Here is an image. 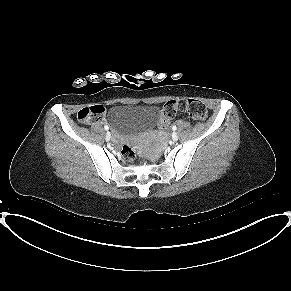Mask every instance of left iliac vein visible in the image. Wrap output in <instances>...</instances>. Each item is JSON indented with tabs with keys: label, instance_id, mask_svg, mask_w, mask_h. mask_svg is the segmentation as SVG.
<instances>
[{
	"label": "left iliac vein",
	"instance_id": "1",
	"mask_svg": "<svg viewBox=\"0 0 291 291\" xmlns=\"http://www.w3.org/2000/svg\"><path fill=\"white\" fill-rule=\"evenodd\" d=\"M178 134L177 133H173V135H172V140L173 141H177L178 140Z\"/></svg>",
	"mask_w": 291,
	"mask_h": 291
}]
</instances>
